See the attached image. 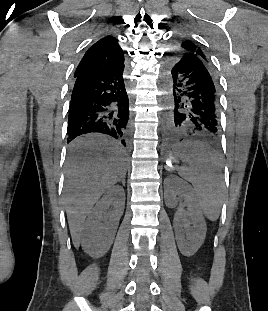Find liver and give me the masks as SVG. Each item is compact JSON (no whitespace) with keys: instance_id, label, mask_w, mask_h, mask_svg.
<instances>
[{"instance_id":"liver-1","label":"liver","mask_w":268,"mask_h":311,"mask_svg":"<svg viewBox=\"0 0 268 311\" xmlns=\"http://www.w3.org/2000/svg\"><path fill=\"white\" fill-rule=\"evenodd\" d=\"M126 158L118 143L81 138L67 162L65 205L72 241L79 246L86 216L102 194L125 177Z\"/></svg>"}]
</instances>
